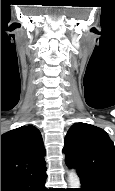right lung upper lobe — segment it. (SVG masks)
Instances as JSON below:
<instances>
[{
  "instance_id": "obj_1",
  "label": "right lung upper lobe",
  "mask_w": 115,
  "mask_h": 191,
  "mask_svg": "<svg viewBox=\"0 0 115 191\" xmlns=\"http://www.w3.org/2000/svg\"><path fill=\"white\" fill-rule=\"evenodd\" d=\"M40 131L22 126L1 135V181L21 180L46 172Z\"/></svg>"
}]
</instances>
